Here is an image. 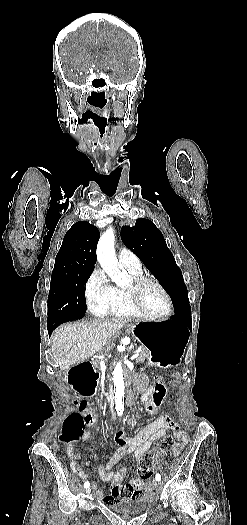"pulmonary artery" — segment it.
<instances>
[{
    "mask_svg": "<svg viewBox=\"0 0 247 525\" xmlns=\"http://www.w3.org/2000/svg\"><path fill=\"white\" fill-rule=\"evenodd\" d=\"M118 258L122 263L127 265H135L136 263L135 254L124 246L118 249Z\"/></svg>",
    "mask_w": 247,
    "mask_h": 525,
    "instance_id": "1",
    "label": "pulmonary artery"
}]
</instances>
